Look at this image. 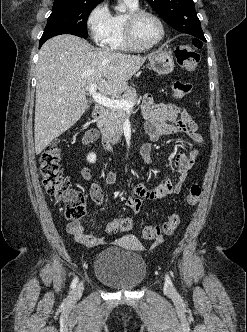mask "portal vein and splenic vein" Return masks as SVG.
<instances>
[{"label":"portal vein and splenic vein","mask_w":247,"mask_h":332,"mask_svg":"<svg viewBox=\"0 0 247 332\" xmlns=\"http://www.w3.org/2000/svg\"><path fill=\"white\" fill-rule=\"evenodd\" d=\"M97 85L92 84L89 87V93L92 96V98L99 104L108 107V108H116V109H123V110H130L134 107V103L131 101H126L123 99H111L106 97L105 95H102L101 93H98L97 91Z\"/></svg>","instance_id":"portal-vein-and-splenic-vein-1"}]
</instances>
